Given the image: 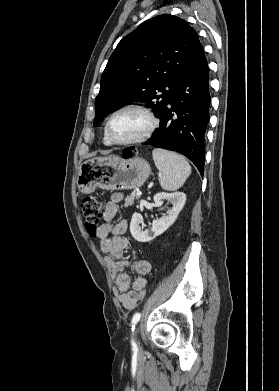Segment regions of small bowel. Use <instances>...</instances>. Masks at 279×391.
<instances>
[{"instance_id": "obj_1", "label": "small bowel", "mask_w": 279, "mask_h": 391, "mask_svg": "<svg viewBox=\"0 0 279 391\" xmlns=\"http://www.w3.org/2000/svg\"><path fill=\"white\" fill-rule=\"evenodd\" d=\"M121 200L122 195L119 193L111 196L105 208L104 222L99 226L96 235L100 240L101 251L106 254L104 260L115 284L116 296L121 304L130 310L140 301L139 292L147 285L145 276L151 270V263L142 259L130 261L124 256L128 243L122 235L126 231L127 222L121 220L115 225L112 224ZM126 268H130L139 277L132 281L125 271Z\"/></svg>"}]
</instances>
